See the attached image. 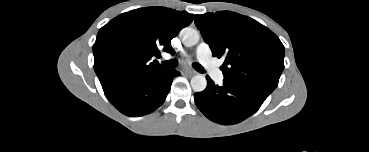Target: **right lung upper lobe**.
<instances>
[{
  "label": "right lung upper lobe",
  "mask_w": 369,
  "mask_h": 152,
  "mask_svg": "<svg viewBox=\"0 0 369 152\" xmlns=\"http://www.w3.org/2000/svg\"><path fill=\"white\" fill-rule=\"evenodd\" d=\"M193 14L164 7L139 8L123 13L103 26L93 45L94 70L107 91L140 75L163 68L161 51L174 53L170 41L188 26Z\"/></svg>",
  "instance_id": "cb5924a9"
}]
</instances>
